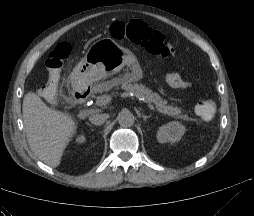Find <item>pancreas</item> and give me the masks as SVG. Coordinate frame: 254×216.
Listing matches in <instances>:
<instances>
[{
    "label": "pancreas",
    "instance_id": "cf45deb5",
    "mask_svg": "<svg viewBox=\"0 0 254 216\" xmlns=\"http://www.w3.org/2000/svg\"><path fill=\"white\" fill-rule=\"evenodd\" d=\"M119 86L124 90L133 93L137 97L144 98L147 103H153L156 109L164 115L175 117L183 121H190L188 115L183 114L181 109L174 107L173 105H168L167 101L163 100L158 93L153 92L142 84L139 85L136 82L123 77L114 78L99 85L103 90H110Z\"/></svg>",
    "mask_w": 254,
    "mask_h": 216
}]
</instances>
